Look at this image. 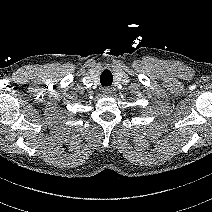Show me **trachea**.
<instances>
[{"label":"trachea","instance_id":"3493384b","mask_svg":"<svg viewBox=\"0 0 212 212\" xmlns=\"http://www.w3.org/2000/svg\"><path fill=\"white\" fill-rule=\"evenodd\" d=\"M113 82L112 73L109 70H104L100 75V83L103 86H110Z\"/></svg>","mask_w":212,"mask_h":212}]
</instances>
